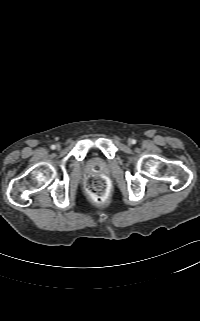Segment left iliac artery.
Listing matches in <instances>:
<instances>
[{
    "mask_svg": "<svg viewBox=\"0 0 200 321\" xmlns=\"http://www.w3.org/2000/svg\"><path fill=\"white\" fill-rule=\"evenodd\" d=\"M136 143V140L135 139H132V144H135Z\"/></svg>",
    "mask_w": 200,
    "mask_h": 321,
    "instance_id": "44dca946",
    "label": "left iliac artery"
}]
</instances>
